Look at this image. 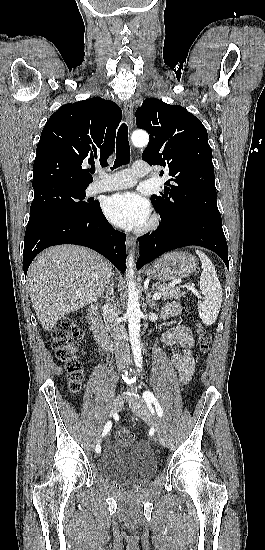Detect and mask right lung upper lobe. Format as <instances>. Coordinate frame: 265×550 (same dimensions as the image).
Masks as SVG:
<instances>
[{"label":"right lung upper lobe","instance_id":"right-lung-upper-lobe-1","mask_svg":"<svg viewBox=\"0 0 265 550\" xmlns=\"http://www.w3.org/2000/svg\"><path fill=\"white\" fill-rule=\"evenodd\" d=\"M121 119L119 106L99 97L60 107L41 133L33 188L62 185L86 189L93 178L85 167L94 160L107 165Z\"/></svg>","mask_w":265,"mask_h":550}]
</instances>
